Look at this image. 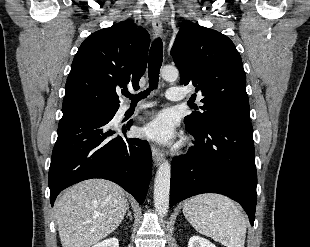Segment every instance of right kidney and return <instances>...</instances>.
Wrapping results in <instances>:
<instances>
[{
	"label": "right kidney",
	"mask_w": 310,
	"mask_h": 247,
	"mask_svg": "<svg viewBox=\"0 0 310 247\" xmlns=\"http://www.w3.org/2000/svg\"><path fill=\"white\" fill-rule=\"evenodd\" d=\"M93 247H119V241L116 238H110L95 244Z\"/></svg>",
	"instance_id": "obj_1"
}]
</instances>
